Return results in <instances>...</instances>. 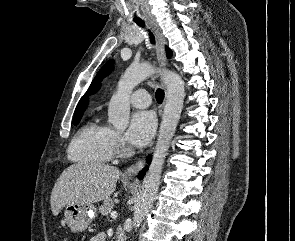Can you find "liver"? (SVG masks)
I'll list each match as a JSON object with an SVG mask.
<instances>
[{
	"mask_svg": "<svg viewBox=\"0 0 295 241\" xmlns=\"http://www.w3.org/2000/svg\"><path fill=\"white\" fill-rule=\"evenodd\" d=\"M120 171L114 166L78 163L62 172L50 197L51 210L57 216L69 204H93L108 199L115 191Z\"/></svg>",
	"mask_w": 295,
	"mask_h": 241,
	"instance_id": "1",
	"label": "liver"
}]
</instances>
